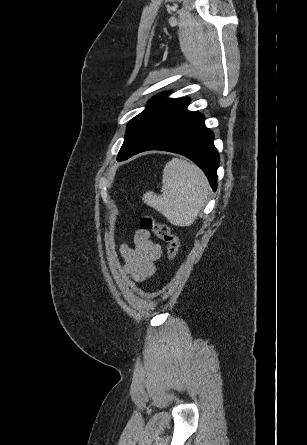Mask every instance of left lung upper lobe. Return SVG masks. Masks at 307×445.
Here are the masks:
<instances>
[{
  "label": "left lung upper lobe",
  "mask_w": 307,
  "mask_h": 445,
  "mask_svg": "<svg viewBox=\"0 0 307 445\" xmlns=\"http://www.w3.org/2000/svg\"><path fill=\"white\" fill-rule=\"evenodd\" d=\"M189 99H166L165 94L153 98L144 111L134 117L127 126L124 143L117 160L123 161L142 143L175 119L189 112Z\"/></svg>",
  "instance_id": "5c2ea615"
}]
</instances>
